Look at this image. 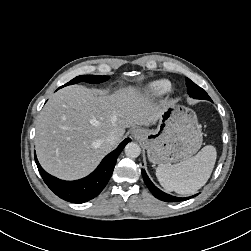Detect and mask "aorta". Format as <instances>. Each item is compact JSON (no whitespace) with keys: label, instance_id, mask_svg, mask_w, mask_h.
<instances>
[{"label":"aorta","instance_id":"1","mask_svg":"<svg viewBox=\"0 0 251 251\" xmlns=\"http://www.w3.org/2000/svg\"><path fill=\"white\" fill-rule=\"evenodd\" d=\"M126 156L130 158H137L141 153V148L137 143L130 142L124 148Z\"/></svg>","mask_w":251,"mask_h":251}]
</instances>
